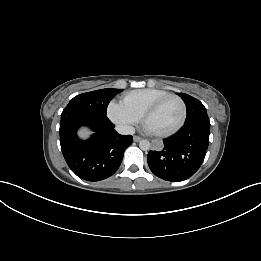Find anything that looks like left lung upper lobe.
Here are the masks:
<instances>
[{"label": "left lung upper lobe", "instance_id": "1", "mask_svg": "<svg viewBox=\"0 0 261 261\" xmlns=\"http://www.w3.org/2000/svg\"><path fill=\"white\" fill-rule=\"evenodd\" d=\"M180 96L187 107L185 123H190L199 119H208L206 108L199 100L185 93H180Z\"/></svg>", "mask_w": 261, "mask_h": 261}]
</instances>
